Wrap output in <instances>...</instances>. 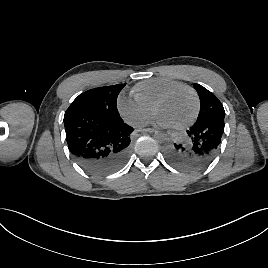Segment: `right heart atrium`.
I'll use <instances>...</instances> for the list:
<instances>
[{"mask_svg":"<svg viewBox=\"0 0 268 268\" xmlns=\"http://www.w3.org/2000/svg\"><path fill=\"white\" fill-rule=\"evenodd\" d=\"M117 109L125 120L134 125H143L152 117L151 108L125 95L119 96Z\"/></svg>","mask_w":268,"mask_h":268,"instance_id":"1","label":"right heart atrium"}]
</instances>
